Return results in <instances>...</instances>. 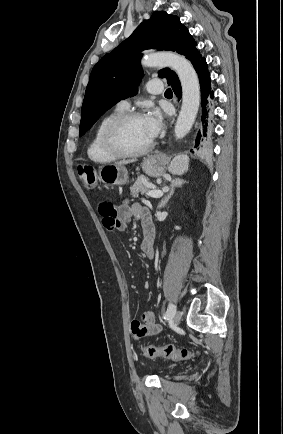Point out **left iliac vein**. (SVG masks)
Listing matches in <instances>:
<instances>
[{
    "label": "left iliac vein",
    "mask_w": 283,
    "mask_h": 434,
    "mask_svg": "<svg viewBox=\"0 0 283 434\" xmlns=\"http://www.w3.org/2000/svg\"><path fill=\"white\" fill-rule=\"evenodd\" d=\"M181 319H182V313L180 311H176L174 314L175 323L177 324L180 323Z\"/></svg>",
    "instance_id": "4c4485c4"
}]
</instances>
